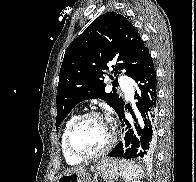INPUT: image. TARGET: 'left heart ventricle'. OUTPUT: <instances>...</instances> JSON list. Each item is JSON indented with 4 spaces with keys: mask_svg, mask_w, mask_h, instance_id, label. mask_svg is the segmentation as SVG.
<instances>
[{
    "mask_svg": "<svg viewBox=\"0 0 196 182\" xmlns=\"http://www.w3.org/2000/svg\"><path fill=\"white\" fill-rule=\"evenodd\" d=\"M108 139L107 124L99 118L82 121L72 136L73 146L84 154H92L104 147Z\"/></svg>",
    "mask_w": 196,
    "mask_h": 182,
    "instance_id": "obj_1",
    "label": "left heart ventricle"
}]
</instances>
